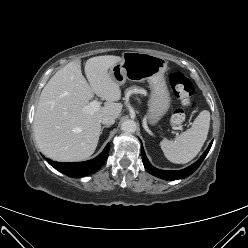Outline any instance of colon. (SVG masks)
Segmentation results:
<instances>
[{
  "instance_id": "colon-1",
  "label": "colon",
  "mask_w": 248,
  "mask_h": 248,
  "mask_svg": "<svg viewBox=\"0 0 248 248\" xmlns=\"http://www.w3.org/2000/svg\"><path fill=\"white\" fill-rule=\"evenodd\" d=\"M169 80L179 101V107L172 115L171 124L179 126L185 120V110L192 109L195 105L192 98L194 87L184 73L179 70L173 71L170 74Z\"/></svg>"
}]
</instances>
